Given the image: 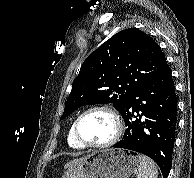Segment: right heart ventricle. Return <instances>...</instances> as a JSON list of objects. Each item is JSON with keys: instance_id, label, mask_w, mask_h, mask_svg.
Returning a JSON list of instances; mask_svg holds the SVG:
<instances>
[{"instance_id": "1", "label": "right heart ventricle", "mask_w": 194, "mask_h": 178, "mask_svg": "<svg viewBox=\"0 0 194 178\" xmlns=\"http://www.w3.org/2000/svg\"><path fill=\"white\" fill-rule=\"evenodd\" d=\"M67 143L69 147L75 150L83 149L84 147L80 145L73 136V124L70 126L68 134H67Z\"/></svg>"}]
</instances>
